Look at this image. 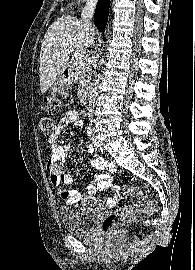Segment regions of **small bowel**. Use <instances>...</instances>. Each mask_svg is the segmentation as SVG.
Segmentation results:
<instances>
[{
	"mask_svg": "<svg viewBox=\"0 0 195 270\" xmlns=\"http://www.w3.org/2000/svg\"><path fill=\"white\" fill-rule=\"evenodd\" d=\"M70 124H75L77 128H81L82 123L79 118V113L76 110H67L59 118L55 130L48 138V144L51 146L52 152L47 162V171L49 173L51 184L58 189V193L65 205H74L79 201L95 202V193L97 190L103 191L111 188L113 196L106 201L108 207H115L120 198V187L113 184V175L117 169L115 165L109 163L102 156L96 153L92 146L88 147L91 154V165L98 170H106L107 174H94V178L98 181L95 185H89L86 191L81 194L76 190L61 189V185H71L73 176L66 173V152L69 150V145H60L58 143L59 134L66 129Z\"/></svg>",
	"mask_w": 195,
	"mask_h": 270,
	"instance_id": "small-bowel-1",
	"label": "small bowel"
}]
</instances>
